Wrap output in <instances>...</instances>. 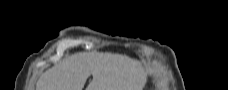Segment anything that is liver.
Wrapping results in <instances>:
<instances>
[{"instance_id":"liver-1","label":"liver","mask_w":228,"mask_h":90,"mask_svg":"<svg viewBox=\"0 0 228 90\" xmlns=\"http://www.w3.org/2000/svg\"><path fill=\"white\" fill-rule=\"evenodd\" d=\"M142 90L146 75L142 65L125 55L79 53L64 59L41 75L36 90Z\"/></svg>"}]
</instances>
